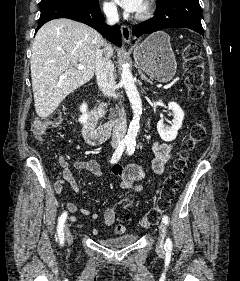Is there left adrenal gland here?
Wrapping results in <instances>:
<instances>
[{
	"label": "left adrenal gland",
	"mask_w": 240,
	"mask_h": 281,
	"mask_svg": "<svg viewBox=\"0 0 240 281\" xmlns=\"http://www.w3.org/2000/svg\"><path fill=\"white\" fill-rule=\"evenodd\" d=\"M138 72H139V74H140L142 80H145L146 82L150 83L151 85L153 84V82H152L150 79H148V78L146 77V75H144L141 70H138Z\"/></svg>",
	"instance_id": "obj_1"
}]
</instances>
